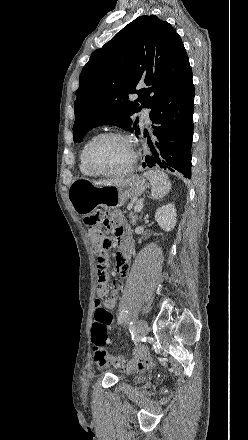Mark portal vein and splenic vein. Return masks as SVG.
Wrapping results in <instances>:
<instances>
[{
  "instance_id": "1",
  "label": "portal vein and splenic vein",
  "mask_w": 248,
  "mask_h": 440,
  "mask_svg": "<svg viewBox=\"0 0 248 440\" xmlns=\"http://www.w3.org/2000/svg\"><path fill=\"white\" fill-rule=\"evenodd\" d=\"M142 203H140V204H136L135 206H134V211L135 212H140L141 210H142Z\"/></svg>"
}]
</instances>
